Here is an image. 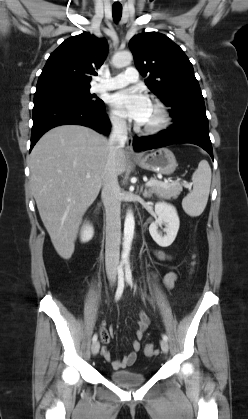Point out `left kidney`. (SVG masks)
I'll use <instances>...</instances> for the list:
<instances>
[{
  "instance_id": "obj_1",
  "label": "left kidney",
  "mask_w": 248,
  "mask_h": 419,
  "mask_svg": "<svg viewBox=\"0 0 248 419\" xmlns=\"http://www.w3.org/2000/svg\"><path fill=\"white\" fill-rule=\"evenodd\" d=\"M155 213L158 218L149 226V232L153 240L161 247L170 246L177 236L179 230V217L176 208L166 202L155 204ZM165 224L166 235L158 232V226Z\"/></svg>"
}]
</instances>
